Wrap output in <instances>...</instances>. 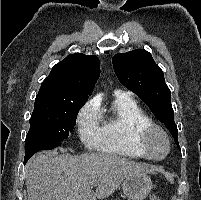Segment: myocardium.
I'll list each match as a JSON object with an SVG mask.
<instances>
[{"instance_id":"1","label":"myocardium","mask_w":201,"mask_h":200,"mask_svg":"<svg viewBox=\"0 0 201 200\" xmlns=\"http://www.w3.org/2000/svg\"><path fill=\"white\" fill-rule=\"evenodd\" d=\"M159 132L161 133L166 142H167V151L162 157H154L151 154L150 146H149V137L153 132ZM137 140L139 145L142 147V149L145 151L147 158L153 160V161H161L168 157L171 151V139L168 134V132L160 125L155 123H149L147 125L142 126L138 132H137Z\"/></svg>"}]
</instances>
